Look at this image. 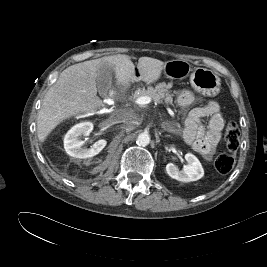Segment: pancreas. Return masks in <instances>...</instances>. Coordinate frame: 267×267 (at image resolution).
<instances>
[{"mask_svg":"<svg viewBox=\"0 0 267 267\" xmlns=\"http://www.w3.org/2000/svg\"><path fill=\"white\" fill-rule=\"evenodd\" d=\"M170 86L165 83L158 84L155 88L149 87L147 90H139L135 93L134 97L149 96L152 101L161 103L163 100L170 105H173V94L169 91Z\"/></svg>","mask_w":267,"mask_h":267,"instance_id":"cf45deb5","label":"pancreas"}]
</instances>
